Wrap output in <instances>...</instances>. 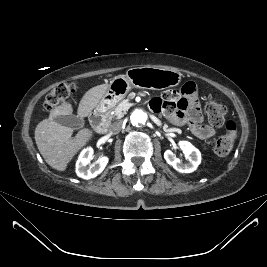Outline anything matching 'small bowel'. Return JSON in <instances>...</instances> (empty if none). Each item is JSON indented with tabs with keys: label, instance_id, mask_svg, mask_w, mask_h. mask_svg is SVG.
I'll list each match as a JSON object with an SVG mask.
<instances>
[{
	"label": "small bowel",
	"instance_id": "small-bowel-1",
	"mask_svg": "<svg viewBox=\"0 0 267 267\" xmlns=\"http://www.w3.org/2000/svg\"><path fill=\"white\" fill-rule=\"evenodd\" d=\"M150 107L165 115L174 125H187L199 139H209L215 130L203 123V117L195 83L188 82L180 90L165 91L161 97L154 98Z\"/></svg>",
	"mask_w": 267,
	"mask_h": 267
}]
</instances>
